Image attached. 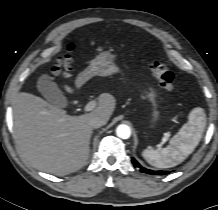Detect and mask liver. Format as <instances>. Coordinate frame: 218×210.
<instances>
[{
  "label": "liver",
  "instance_id": "liver-1",
  "mask_svg": "<svg viewBox=\"0 0 218 210\" xmlns=\"http://www.w3.org/2000/svg\"><path fill=\"white\" fill-rule=\"evenodd\" d=\"M67 92L72 89L65 86ZM116 101L108 93L98 98L92 112L70 116L31 93L17 95L13 105L14 134L27 160L37 169L66 175L81 169L90 153L93 117L109 120Z\"/></svg>",
  "mask_w": 218,
  "mask_h": 210
}]
</instances>
